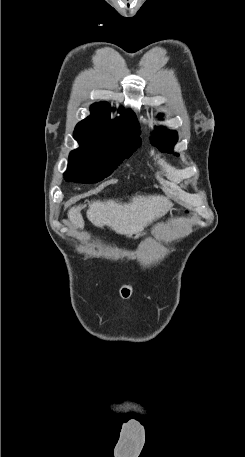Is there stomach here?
Listing matches in <instances>:
<instances>
[{"label": "stomach", "mask_w": 245, "mask_h": 457, "mask_svg": "<svg viewBox=\"0 0 245 457\" xmlns=\"http://www.w3.org/2000/svg\"><path fill=\"white\" fill-rule=\"evenodd\" d=\"M142 235H144V233H141V231H136V233H128V237H130V239H139V237H142Z\"/></svg>", "instance_id": "obj_1"}]
</instances>
